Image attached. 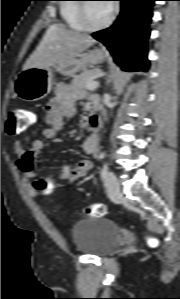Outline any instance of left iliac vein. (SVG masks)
Segmentation results:
<instances>
[{
  "label": "left iliac vein",
  "instance_id": "obj_1",
  "mask_svg": "<svg viewBox=\"0 0 180 299\" xmlns=\"http://www.w3.org/2000/svg\"><path fill=\"white\" fill-rule=\"evenodd\" d=\"M105 183L108 191L113 197H118L121 193L120 184L116 176L112 172H108L106 175Z\"/></svg>",
  "mask_w": 180,
  "mask_h": 299
}]
</instances>
